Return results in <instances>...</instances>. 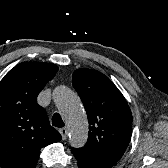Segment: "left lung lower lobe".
Returning <instances> with one entry per match:
<instances>
[{
  "label": "left lung lower lobe",
  "instance_id": "left-lung-lower-lobe-1",
  "mask_svg": "<svg viewBox=\"0 0 168 168\" xmlns=\"http://www.w3.org/2000/svg\"><path fill=\"white\" fill-rule=\"evenodd\" d=\"M71 152L77 159L79 168H112L114 165L88 153L82 148L72 149Z\"/></svg>",
  "mask_w": 168,
  "mask_h": 168
}]
</instances>
